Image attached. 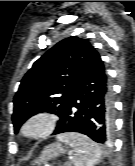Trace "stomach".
Masks as SVG:
<instances>
[{
    "label": "stomach",
    "instance_id": "0dacf381",
    "mask_svg": "<svg viewBox=\"0 0 135 166\" xmlns=\"http://www.w3.org/2000/svg\"><path fill=\"white\" fill-rule=\"evenodd\" d=\"M63 153H65V149L60 143H52L43 149L36 163L38 164V166H41L47 161H50Z\"/></svg>",
    "mask_w": 135,
    "mask_h": 166
}]
</instances>
